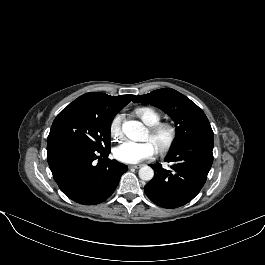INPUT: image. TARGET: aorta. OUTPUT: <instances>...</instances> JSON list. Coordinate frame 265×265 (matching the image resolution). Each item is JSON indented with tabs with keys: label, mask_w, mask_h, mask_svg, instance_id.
<instances>
[{
	"label": "aorta",
	"mask_w": 265,
	"mask_h": 265,
	"mask_svg": "<svg viewBox=\"0 0 265 265\" xmlns=\"http://www.w3.org/2000/svg\"><path fill=\"white\" fill-rule=\"evenodd\" d=\"M123 133L130 139H143L146 133L145 126L137 120H128L122 124ZM154 171L150 166H143L139 170V177L144 181H150Z\"/></svg>",
	"instance_id": "aorta-1"
}]
</instances>
